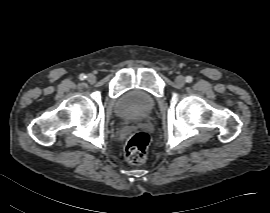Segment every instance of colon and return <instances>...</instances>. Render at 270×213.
<instances>
[{
  "label": "colon",
  "instance_id": "colon-1",
  "mask_svg": "<svg viewBox=\"0 0 270 213\" xmlns=\"http://www.w3.org/2000/svg\"><path fill=\"white\" fill-rule=\"evenodd\" d=\"M150 137L146 132L139 131L131 134L125 144V160L132 165L142 163L146 158Z\"/></svg>",
  "mask_w": 270,
  "mask_h": 213
}]
</instances>
